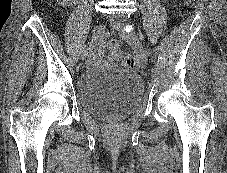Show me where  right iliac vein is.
Wrapping results in <instances>:
<instances>
[{
    "label": "right iliac vein",
    "instance_id": "1",
    "mask_svg": "<svg viewBox=\"0 0 227 173\" xmlns=\"http://www.w3.org/2000/svg\"><path fill=\"white\" fill-rule=\"evenodd\" d=\"M104 28L105 27L103 24H100L95 28L94 33L92 35L91 43L88 47L86 54H83V58L91 57L96 52L100 43L103 42Z\"/></svg>",
    "mask_w": 227,
    "mask_h": 173
}]
</instances>
